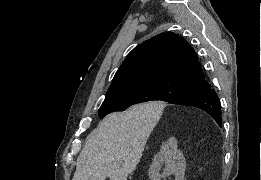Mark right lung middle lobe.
<instances>
[{
	"mask_svg": "<svg viewBox=\"0 0 261 180\" xmlns=\"http://www.w3.org/2000/svg\"><path fill=\"white\" fill-rule=\"evenodd\" d=\"M201 89V83L184 80H159L138 85L127 86L107 92L105 100L99 108V116L103 118L114 111H124L131 105L162 100H170Z\"/></svg>",
	"mask_w": 261,
	"mask_h": 180,
	"instance_id": "right-lung-middle-lobe-1",
	"label": "right lung middle lobe"
}]
</instances>
